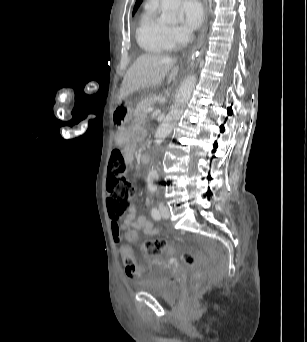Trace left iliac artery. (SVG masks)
Instances as JSON below:
<instances>
[{
  "instance_id": "obj_1",
  "label": "left iliac artery",
  "mask_w": 307,
  "mask_h": 342,
  "mask_svg": "<svg viewBox=\"0 0 307 342\" xmlns=\"http://www.w3.org/2000/svg\"><path fill=\"white\" fill-rule=\"evenodd\" d=\"M150 191H151L152 193L155 194V192L157 191V187H156V186L151 187V188H150ZM151 215H152V217H153L155 220H159V219H160V213H159V211H158L157 208H153V209H152Z\"/></svg>"
}]
</instances>
